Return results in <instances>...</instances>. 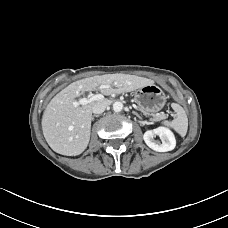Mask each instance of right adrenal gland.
<instances>
[{
  "mask_svg": "<svg viewBox=\"0 0 228 228\" xmlns=\"http://www.w3.org/2000/svg\"><path fill=\"white\" fill-rule=\"evenodd\" d=\"M95 117H99V115H93L92 116V121L94 120Z\"/></svg>",
  "mask_w": 228,
  "mask_h": 228,
  "instance_id": "right-adrenal-gland-1",
  "label": "right adrenal gland"
}]
</instances>
